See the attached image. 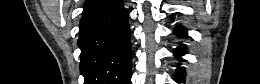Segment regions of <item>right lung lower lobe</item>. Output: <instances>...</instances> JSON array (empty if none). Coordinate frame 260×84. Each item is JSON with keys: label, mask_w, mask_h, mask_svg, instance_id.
<instances>
[{"label": "right lung lower lobe", "mask_w": 260, "mask_h": 84, "mask_svg": "<svg viewBox=\"0 0 260 84\" xmlns=\"http://www.w3.org/2000/svg\"><path fill=\"white\" fill-rule=\"evenodd\" d=\"M131 32L122 0H87L80 21L85 84H130Z\"/></svg>", "instance_id": "obj_1"}]
</instances>
